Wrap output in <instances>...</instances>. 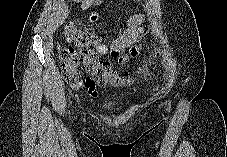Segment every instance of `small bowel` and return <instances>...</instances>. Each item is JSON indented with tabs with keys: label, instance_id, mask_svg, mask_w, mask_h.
<instances>
[{
	"label": "small bowel",
	"instance_id": "obj_1",
	"mask_svg": "<svg viewBox=\"0 0 227 157\" xmlns=\"http://www.w3.org/2000/svg\"><path fill=\"white\" fill-rule=\"evenodd\" d=\"M143 21V15H134L130 18L128 22V29L118 38H116L110 46L100 44L98 47V53L101 55L110 53L113 57H120L124 51H131L133 58H138L139 54L136 53V51L139 50L138 46H129L139 35V33L142 31L141 23ZM86 87L88 89V92L92 96H96V85L89 84V83H82L76 88L79 87Z\"/></svg>",
	"mask_w": 227,
	"mask_h": 157
}]
</instances>
